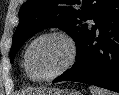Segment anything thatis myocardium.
Wrapping results in <instances>:
<instances>
[{"instance_id": "obj_1", "label": "myocardium", "mask_w": 119, "mask_h": 95, "mask_svg": "<svg viewBox=\"0 0 119 95\" xmlns=\"http://www.w3.org/2000/svg\"><path fill=\"white\" fill-rule=\"evenodd\" d=\"M47 37H59V38L63 39L69 47V55H68L66 62L63 64V66L60 69H58L56 72H54L53 74L48 75V76H38L33 72V70L30 67L29 55H30V52H31V49L33 48V46L41 39H44ZM77 54H78L77 43H76L75 39L70 34L64 32V31H60V30L49 31V32H46V33H43V34L37 36L27 47L25 54H24L25 70L31 76V78H33L34 80L50 81V80H53V79L59 77L60 75L65 73L68 69H70L76 61Z\"/></svg>"}]
</instances>
